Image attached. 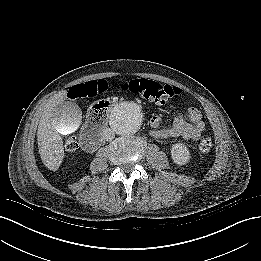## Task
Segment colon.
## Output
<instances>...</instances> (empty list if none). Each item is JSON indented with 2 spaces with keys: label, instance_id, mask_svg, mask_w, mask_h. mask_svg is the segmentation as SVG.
<instances>
[{
  "label": "colon",
  "instance_id": "5ec220e1",
  "mask_svg": "<svg viewBox=\"0 0 261 261\" xmlns=\"http://www.w3.org/2000/svg\"><path fill=\"white\" fill-rule=\"evenodd\" d=\"M108 90L121 91L140 96L148 101L162 104L180 94V89L172 85L160 84L156 81L137 78L125 82L108 83L105 80H92L71 88L70 95L77 98L94 97ZM111 105L108 101H98L90 106L88 110V122L91 125L103 123L110 111ZM213 142L210 137H205L199 142V150L208 153L212 149ZM68 152H75L79 148V142L75 137L69 138L65 143Z\"/></svg>",
  "mask_w": 261,
  "mask_h": 261
}]
</instances>
